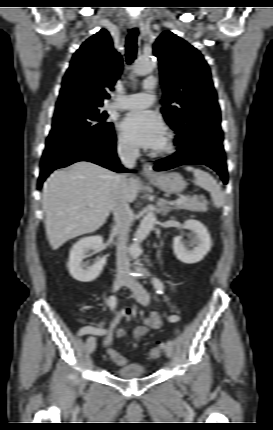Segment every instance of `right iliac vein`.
Listing matches in <instances>:
<instances>
[{
	"label": "right iliac vein",
	"mask_w": 273,
	"mask_h": 430,
	"mask_svg": "<svg viewBox=\"0 0 273 430\" xmlns=\"http://www.w3.org/2000/svg\"><path fill=\"white\" fill-rule=\"evenodd\" d=\"M127 283V280L121 276H118L112 286V291L116 292L117 290H119V288L122 285H125ZM87 349L89 353H93L96 349V339L94 337H92V339L87 342Z\"/></svg>",
	"instance_id": "63e3f726"
}]
</instances>
